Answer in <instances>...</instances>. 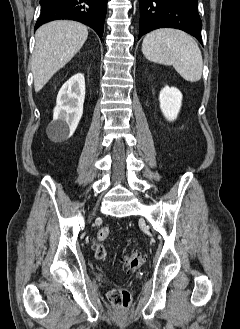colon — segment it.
<instances>
[{"mask_svg": "<svg viewBox=\"0 0 240 329\" xmlns=\"http://www.w3.org/2000/svg\"><path fill=\"white\" fill-rule=\"evenodd\" d=\"M110 229L105 226L102 227L98 233L97 237L100 242H103L109 235ZM105 248L102 243L98 244L96 247V257L103 259L105 257ZM145 256L142 252H132L128 255H125L122 259L124 267L128 271H135L138 269L144 262ZM108 299L116 307L126 309L131 304V293L127 288H114L109 291Z\"/></svg>", "mask_w": 240, "mask_h": 329, "instance_id": "1", "label": "colon"}]
</instances>
